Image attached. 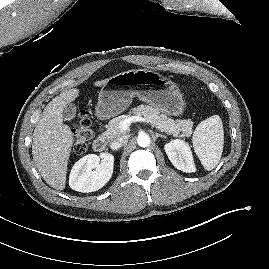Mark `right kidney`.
Returning a JSON list of instances; mask_svg holds the SVG:
<instances>
[{"label": "right kidney", "mask_w": 269, "mask_h": 269, "mask_svg": "<svg viewBox=\"0 0 269 269\" xmlns=\"http://www.w3.org/2000/svg\"><path fill=\"white\" fill-rule=\"evenodd\" d=\"M113 167L112 154H88L74 164L69 176V186L83 193L97 191L110 180Z\"/></svg>", "instance_id": "right-kidney-1"}]
</instances>
